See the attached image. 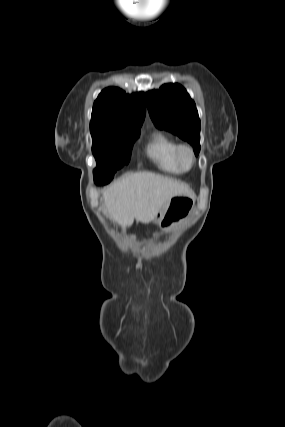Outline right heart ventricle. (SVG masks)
<instances>
[{"label":"right heart ventricle","instance_id":"e07e8e85","mask_svg":"<svg viewBox=\"0 0 285 427\" xmlns=\"http://www.w3.org/2000/svg\"><path fill=\"white\" fill-rule=\"evenodd\" d=\"M178 145L170 135L156 132L147 144L146 155L160 171L174 175L181 174L182 171L175 162V151Z\"/></svg>","mask_w":285,"mask_h":427}]
</instances>
